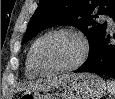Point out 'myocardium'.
<instances>
[{
	"instance_id": "myocardium-1",
	"label": "myocardium",
	"mask_w": 115,
	"mask_h": 99,
	"mask_svg": "<svg viewBox=\"0 0 115 99\" xmlns=\"http://www.w3.org/2000/svg\"><path fill=\"white\" fill-rule=\"evenodd\" d=\"M57 34H70V35L76 37L81 44V54H80L79 58L74 63H72L68 66H64V67H61L58 69H53V70H46V69L42 68L40 66V64L38 63L37 56H36V50H37V47L40 42H42L44 39H46L50 36L57 35ZM89 53H90V45H89V42H88L87 38L85 37V35L78 30H75L72 28H66V27L57 28V29H53V30L46 32L45 34L40 36L38 39H36V41L33 43L32 47L30 49V57H31L32 65H33L34 69L40 75H43V76H53V75L73 71L85 63V61L87 60V58L89 56Z\"/></svg>"
}]
</instances>
